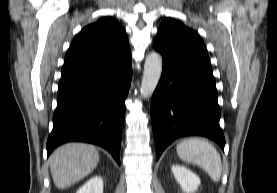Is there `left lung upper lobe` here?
<instances>
[{
  "label": "left lung upper lobe",
  "mask_w": 277,
  "mask_h": 193,
  "mask_svg": "<svg viewBox=\"0 0 277 193\" xmlns=\"http://www.w3.org/2000/svg\"><path fill=\"white\" fill-rule=\"evenodd\" d=\"M154 43L176 59L198 61L210 65L202 38L180 21L166 18L158 29Z\"/></svg>",
  "instance_id": "obj_1"
}]
</instances>
